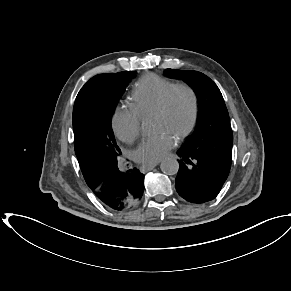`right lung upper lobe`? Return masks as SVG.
Here are the masks:
<instances>
[{"label": "right lung upper lobe", "mask_w": 291, "mask_h": 291, "mask_svg": "<svg viewBox=\"0 0 291 291\" xmlns=\"http://www.w3.org/2000/svg\"><path fill=\"white\" fill-rule=\"evenodd\" d=\"M79 164H80L81 169L86 170L85 180H86L87 185L90 187V189L93 192L98 191L100 188V184L96 180H94V178L91 177V174H89V172H91V170H92L91 168H89L90 165L83 163V162L79 163Z\"/></svg>", "instance_id": "obj_1"}]
</instances>
